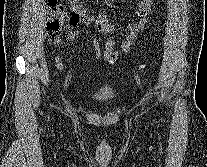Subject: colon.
<instances>
[{"label":"colon","instance_id":"5ec220e1","mask_svg":"<svg viewBox=\"0 0 207 167\" xmlns=\"http://www.w3.org/2000/svg\"><path fill=\"white\" fill-rule=\"evenodd\" d=\"M46 15L47 32L53 41H58L60 39L61 30L68 22L67 14L58 0H48ZM137 70L140 73H144L146 71V64H139Z\"/></svg>","mask_w":207,"mask_h":167}]
</instances>
